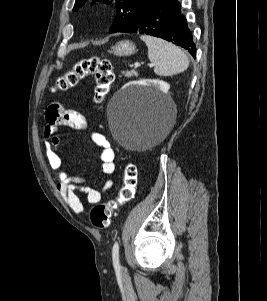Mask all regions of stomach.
Here are the masks:
<instances>
[{
    "instance_id": "1",
    "label": "stomach",
    "mask_w": 267,
    "mask_h": 301,
    "mask_svg": "<svg viewBox=\"0 0 267 301\" xmlns=\"http://www.w3.org/2000/svg\"><path fill=\"white\" fill-rule=\"evenodd\" d=\"M136 51V47L134 43L129 40H123L116 43L111 48V53L118 57H126L134 54Z\"/></svg>"
}]
</instances>
